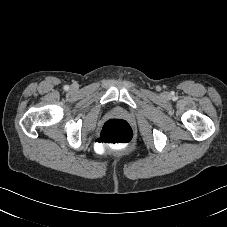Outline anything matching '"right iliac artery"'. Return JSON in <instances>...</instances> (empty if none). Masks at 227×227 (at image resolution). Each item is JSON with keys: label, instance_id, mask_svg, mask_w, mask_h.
<instances>
[{"label": "right iliac artery", "instance_id": "82829eb1", "mask_svg": "<svg viewBox=\"0 0 227 227\" xmlns=\"http://www.w3.org/2000/svg\"><path fill=\"white\" fill-rule=\"evenodd\" d=\"M68 89H69V86H68V85H65V86H64V90L67 91Z\"/></svg>", "mask_w": 227, "mask_h": 227}]
</instances>
